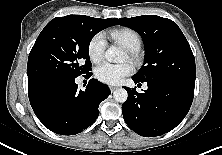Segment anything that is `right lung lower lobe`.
<instances>
[{
  "label": "right lung lower lobe",
  "mask_w": 222,
  "mask_h": 155,
  "mask_svg": "<svg viewBox=\"0 0 222 155\" xmlns=\"http://www.w3.org/2000/svg\"><path fill=\"white\" fill-rule=\"evenodd\" d=\"M50 88L42 98L29 100L42 124L61 135H75L88 128L99 115V104L111 94L107 85L95 79L85 90L78 89L75 78L54 82Z\"/></svg>",
  "instance_id": "obj_1"
}]
</instances>
